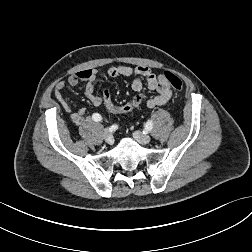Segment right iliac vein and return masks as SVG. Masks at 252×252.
<instances>
[{
	"instance_id": "63e3f726",
	"label": "right iliac vein",
	"mask_w": 252,
	"mask_h": 252,
	"mask_svg": "<svg viewBox=\"0 0 252 252\" xmlns=\"http://www.w3.org/2000/svg\"><path fill=\"white\" fill-rule=\"evenodd\" d=\"M104 139L108 144H113L114 142L113 135L108 130L104 131Z\"/></svg>"
}]
</instances>
